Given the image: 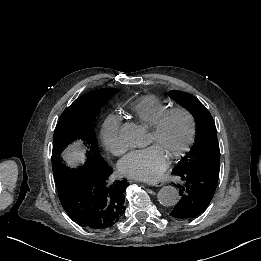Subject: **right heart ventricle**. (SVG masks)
Returning a JSON list of instances; mask_svg holds the SVG:
<instances>
[{
  "mask_svg": "<svg viewBox=\"0 0 261 261\" xmlns=\"http://www.w3.org/2000/svg\"><path fill=\"white\" fill-rule=\"evenodd\" d=\"M124 108L142 123L152 124L156 118L169 108L163 99L155 95H142L124 102Z\"/></svg>",
  "mask_w": 261,
  "mask_h": 261,
  "instance_id": "right-heart-ventricle-1",
  "label": "right heart ventricle"
}]
</instances>
